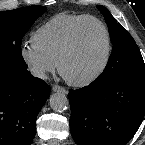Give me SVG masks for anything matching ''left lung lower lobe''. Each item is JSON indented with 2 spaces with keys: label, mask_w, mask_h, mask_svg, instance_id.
Segmentation results:
<instances>
[{
  "label": "left lung lower lobe",
  "mask_w": 145,
  "mask_h": 145,
  "mask_svg": "<svg viewBox=\"0 0 145 145\" xmlns=\"http://www.w3.org/2000/svg\"><path fill=\"white\" fill-rule=\"evenodd\" d=\"M70 129L77 145H125L145 114V72L71 90Z\"/></svg>",
  "instance_id": "obj_1"
}]
</instances>
